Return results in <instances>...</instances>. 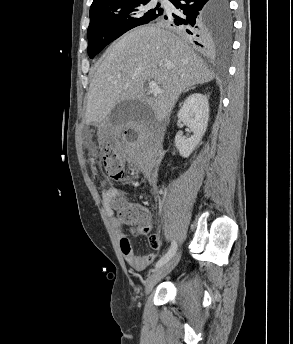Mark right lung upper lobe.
Instances as JSON below:
<instances>
[{
	"label": "right lung upper lobe",
	"instance_id": "1",
	"mask_svg": "<svg viewBox=\"0 0 293 344\" xmlns=\"http://www.w3.org/2000/svg\"><path fill=\"white\" fill-rule=\"evenodd\" d=\"M115 1H118V0H93V3L90 7V10L94 9L96 7L102 6V5H106V4L115 2Z\"/></svg>",
	"mask_w": 293,
	"mask_h": 344
}]
</instances>
